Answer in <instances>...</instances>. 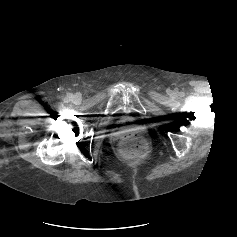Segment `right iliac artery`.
Wrapping results in <instances>:
<instances>
[{
  "instance_id": "obj_1",
  "label": "right iliac artery",
  "mask_w": 237,
  "mask_h": 237,
  "mask_svg": "<svg viewBox=\"0 0 237 237\" xmlns=\"http://www.w3.org/2000/svg\"><path fill=\"white\" fill-rule=\"evenodd\" d=\"M72 99V95H67L66 100L70 101Z\"/></svg>"
}]
</instances>
